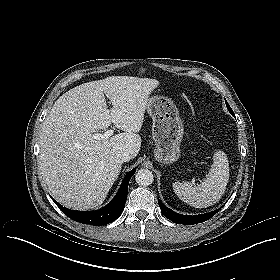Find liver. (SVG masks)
I'll return each instance as SVG.
<instances>
[{"label": "liver", "instance_id": "6515ba94", "mask_svg": "<svg viewBox=\"0 0 280 280\" xmlns=\"http://www.w3.org/2000/svg\"><path fill=\"white\" fill-rule=\"evenodd\" d=\"M159 81L109 76L76 86L54 103L39 136V170L50 194L75 210L98 208L118 178L127 151L136 157L149 94ZM105 96L111 101L108 109ZM111 123L124 131L93 138Z\"/></svg>", "mask_w": 280, "mask_h": 280}]
</instances>
